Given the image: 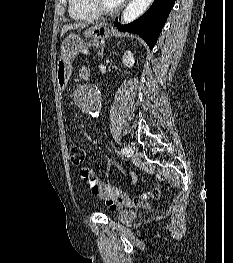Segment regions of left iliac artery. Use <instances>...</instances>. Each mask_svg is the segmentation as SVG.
I'll return each mask as SVG.
<instances>
[{
	"mask_svg": "<svg viewBox=\"0 0 233 263\" xmlns=\"http://www.w3.org/2000/svg\"><path fill=\"white\" fill-rule=\"evenodd\" d=\"M121 153L124 154V155L129 156L131 154V149L128 148V147H124V148L121 149Z\"/></svg>",
	"mask_w": 233,
	"mask_h": 263,
	"instance_id": "left-iliac-artery-1",
	"label": "left iliac artery"
}]
</instances>
